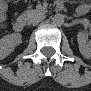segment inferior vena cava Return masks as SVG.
I'll use <instances>...</instances> for the list:
<instances>
[{
	"instance_id": "obj_1",
	"label": "inferior vena cava",
	"mask_w": 91,
	"mask_h": 91,
	"mask_svg": "<svg viewBox=\"0 0 91 91\" xmlns=\"http://www.w3.org/2000/svg\"><path fill=\"white\" fill-rule=\"evenodd\" d=\"M43 19H44V16L39 15L38 17H36L35 19L32 20V24L37 25Z\"/></svg>"
}]
</instances>
